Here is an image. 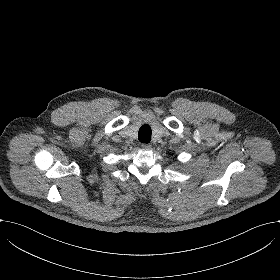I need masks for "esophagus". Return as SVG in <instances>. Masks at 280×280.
I'll return each instance as SVG.
<instances>
[{"instance_id":"34e87169","label":"esophagus","mask_w":280,"mask_h":280,"mask_svg":"<svg viewBox=\"0 0 280 280\" xmlns=\"http://www.w3.org/2000/svg\"><path fill=\"white\" fill-rule=\"evenodd\" d=\"M141 147H142L144 150L148 151V150H150V149L152 148V145H151L150 143H143V144L141 145Z\"/></svg>"}]
</instances>
